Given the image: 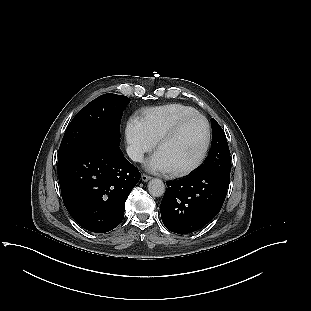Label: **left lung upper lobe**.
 I'll return each instance as SVG.
<instances>
[{"label":"left lung upper lobe","mask_w":311,"mask_h":311,"mask_svg":"<svg viewBox=\"0 0 311 311\" xmlns=\"http://www.w3.org/2000/svg\"><path fill=\"white\" fill-rule=\"evenodd\" d=\"M212 144L204 164L196 171L216 170L230 174V151L225 133L220 125L212 118Z\"/></svg>","instance_id":"left-lung-upper-lobe-1"}]
</instances>
